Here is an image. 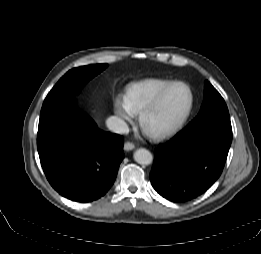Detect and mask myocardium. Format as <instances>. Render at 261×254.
Masks as SVG:
<instances>
[{"label":"myocardium","mask_w":261,"mask_h":254,"mask_svg":"<svg viewBox=\"0 0 261 254\" xmlns=\"http://www.w3.org/2000/svg\"><path fill=\"white\" fill-rule=\"evenodd\" d=\"M176 85H182L187 88L189 92V104L183 115L172 125L165 126V127H154L151 126L149 123V119L151 115L158 109L159 105L161 104L164 96L167 92ZM194 106V94L191 87L182 81H174L169 83L161 92L160 94L154 99V101L148 105L143 111L140 113L139 117V124L141 129L146 133L149 137L154 139H162L169 137L175 134L186 122L188 119L192 109Z\"/></svg>","instance_id":"1"}]
</instances>
